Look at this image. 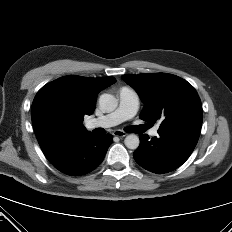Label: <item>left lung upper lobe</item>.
I'll list each match as a JSON object with an SVG mask.
<instances>
[{"label": "left lung upper lobe", "mask_w": 232, "mask_h": 232, "mask_svg": "<svg viewBox=\"0 0 232 232\" xmlns=\"http://www.w3.org/2000/svg\"><path fill=\"white\" fill-rule=\"evenodd\" d=\"M122 78L137 91L145 104L140 116L142 120L161 119L160 131L201 129V100L195 88L186 80L165 73L128 74Z\"/></svg>", "instance_id": "5c2ea615"}]
</instances>
